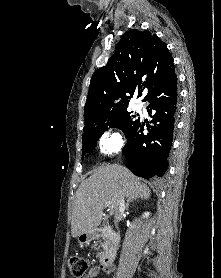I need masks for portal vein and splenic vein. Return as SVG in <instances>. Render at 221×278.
I'll list each match as a JSON object with an SVG mask.
<instances>
[{
	"mask_svg": "<svg viewBox=\"0 0 221 278\" xmlns=\"http://www.w3.org/2000/svg\"><path fill=\"white\" fill-rule=\"evenodd\" d=\"M110 206V202H107V207H109Z\"/></svg>",
	"mask_w": 221,
	"mask_h": 278,
	"instance_id": "obj_1",
	"label": "portal vein and splenic vein"
}]
</instances>
